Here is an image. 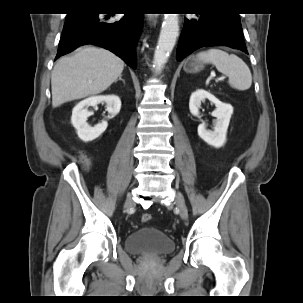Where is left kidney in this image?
<instances>
[{
  "label": "left kidney",
  "mask_w": 303,
  "mask_h": 303,
  "mask_svg": "<svg viewBox=\"0 0 303 303\" xmlns=\"http://www.w3.org/2000/svg\"><path fill=\"white\" fill-rule=\"evenodd\" d=\"M205 99H208L216 106V109L212 112V116L216 120L214 121L213 131L207 130L205 123L200 124L198 126V136L208 145L220 148L226 143L227 129L233 114V107L230 104L221 102L208 91L198 89L191 94L189 101V109L193 116H199L201 102Z\"/></svg>",
  "instance_id": "1"
}]
</instances>
